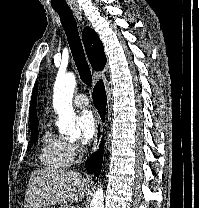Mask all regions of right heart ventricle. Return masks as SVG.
I'll return each instance as SVG.
<instances>
[{"mask_svg":"<svg viewBox=\"0 0 199 208\" xmlns=\"http://www.w3.org/2000/svg\"><path fill=\"white\" fill-rule=\"evenodd\" d=\"M39 159L48 169L59 170L65 168L68 165L65 142L51 131L46 130L42 136Z\"/></svg>","mask_w":199,"mask_h":208,"instance_id":"right-heart-ventricle-1","label":"right heart ventricle"}]
</instances>
